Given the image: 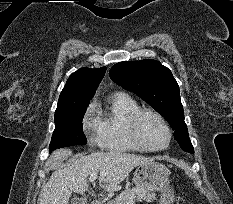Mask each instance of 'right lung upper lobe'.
Segmentation results:
<instances>
[{"label":"right lung upper lobe","instance_id":"right-lung-upper-lobe-1","mask_svg":"<svg viewBox=\"0 0 233 204\" xmlns=\"http://www.w3.org/2000/svg\"><path fill=\"white\" fill-rule=\"evenodd\" d=\"M105 72V67L82 68L71 74L60 94L57 107L89 105Z\"/></svg>","mask_w":233,"mask_h":204}]
</instances>
